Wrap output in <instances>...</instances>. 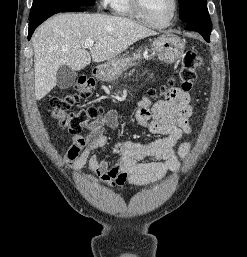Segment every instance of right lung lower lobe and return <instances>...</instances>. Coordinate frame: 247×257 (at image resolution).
<instances>
[{"mask_svg": "<svg viewBox=\"0 0 247 257\" xmlns=\"http://www.w3.org/2000/svg\"><path fill=\"white\" fill-rule=\"evenodd\" d=\"M83 10L82 7H61V8H53L46 11H43L33 17H29V33L28 40H30L34 30L47 18L50 16L59 13V12H81Z\"/></svg>", "mask_w": 247, "mask_h": 257, "instance_id": "right-lung-lower-lobe-1", "label": "right lung lower lobe"}]
</instances>
